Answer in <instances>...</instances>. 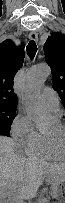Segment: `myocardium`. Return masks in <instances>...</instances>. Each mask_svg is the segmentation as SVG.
Returning <instances> with one entry per match:
<instances>
[{
    "label": "myocardium",
    "mask_w": 65,
    "mask_h": 203,
    "mask_svg": "<svg viewBox=\"0 0 65 203\" xmlns=\"http://www.w3.org/2000/svg\"><path fill=\"white\" fill-rule=\"evenodd\" d=\"M59 127L61 134L54 136L46 135L55 153H59V151L63 150L65 143V125L61 124Z\"/></svg>",
    "instance_id": "myocardium-1"
}]
</instances>
